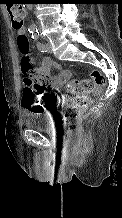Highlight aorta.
Listing matches in <instances>:
<instances>
[{
	"label": "aorta",
	"mask_w": 122,
	"mask_h": 218,
	"mask_svg": "<svg viewBox=\"0 0 122 218\" xmlns=\"http://www.w3.org/2000/svg\"><path fill=\"white\" fill-rule=\"evenodd\" d=\"M30 28H31L32 30H36V29H37V27H36L35 24H32V25L30 26Z\"/></svg>",
	"instance_id": "762f6f07"
}]
</instances>
